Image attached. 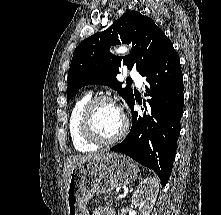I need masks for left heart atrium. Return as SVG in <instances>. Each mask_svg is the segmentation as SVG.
Masks as SVG:
<instances>
[{
	"label": "left heart atrium",
	"mask_w": 221,
	"mask_h": 215,
	"mask_svg": "<svg viewBox=\"0 0 221 215\" xmlns=\"http://www.w3.org/2000/svg\"><path fill=\"white\" fill-rule=\"evenodd\" d=\"M116 107H117V110L120 112V114H121V109L116 105Z\"/></svg>",
	"instance_id": "left-heart-atrium-1"
}]
</instances>
